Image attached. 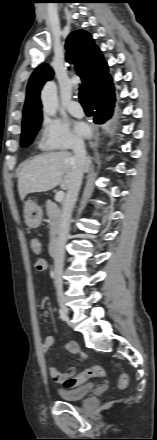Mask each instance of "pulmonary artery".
<instances>
[{"label": "pulmonary artery", "mask_w": 157, "mask_h": 440, "mask_svg": "<svg viewBox=\"0 0 157 440\" xmlns=\"http://www.w3.org/2000/svg\"><path fill=\"white\" fill-rule=\"evenodd\" d=\"M67 110L73 116L81 117L83 114L82 106L78 101H71L68 104Z\"/></svg>", "instance_id": "e3ab8cb5"}]
</instances>
